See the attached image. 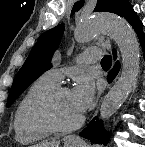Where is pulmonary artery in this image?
Returning a JSON list of instances; mask_svg holds the SVG:
<instances>
[{"label": "pulmonary artery", "instance_id": "e3ab8cb5", "mask_svg": "<svg viewBox=\"0 0 145 147\" xmlns=\"http://www.w3.org/2000/svg\"><path fill=\"white\" fill-rule=\"evenodd\" d=\"M101 50L97 48H91L79 55V61L83 64H91L96 62L101 57ZM44 75L56 83H59L63 77L62 68H51L47 70Z\"/></svg>", "mask_w": 145, "mask_h": 147}]
</instances>
